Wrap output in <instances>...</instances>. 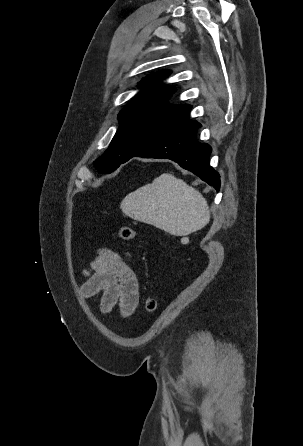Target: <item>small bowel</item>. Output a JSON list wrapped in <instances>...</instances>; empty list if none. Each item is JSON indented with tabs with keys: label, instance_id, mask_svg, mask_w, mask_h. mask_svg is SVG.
Segmentation results:
<instances>
[{
	"label": "small bowel",
	"instance_id": "1",
	"mask_svg": "<svg viewBox=\"0 0 303 446\" xmlns=\"http://www.w3.org/2000/svg\"><path fill=\"white\" fill-rule=\"evenodd\" d=\"M85 274L82 293L85 297L100 295L104 313L116 305L124 316L134 312L139 302V282L136 270L126 258L109 249H100Z\"/></svg>",
	"mask_w": 303,
	"mask_h": 446
}]
</instances>
